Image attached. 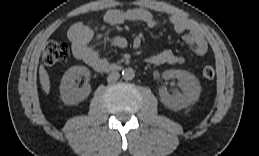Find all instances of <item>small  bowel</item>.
<instances>
[{
	"instance_id": "small-bowel-1",
	"label": "small bowel",
	"mask_w": 259,
	"mask_h": 156,
	"mask_svg": "<svg viewBox=\"0 0 259 156\" xmlns=\"http://www.w3.org/2000/svg\"><path fill=\"white\" fill-rule=\"evenodd\" d=\"M103 19L111 26L120 25L125 22H142L148 28H156L161 25V21L150 11L143 8L134 9H109L105 12ZM169 24L174 32L183 34L185 44L197 56H204L208 52V43L203 33L188 19L171 16ZM67 36L72 44L73 54L76 58L98 70L99 67L107 65L106 59L101 57L99 44L106 41L104 34L95 29L76 23L70 27ZM113 46L122 47L125 42L121 37H114L110 40ZM147 61L153 65H175L183 64L185 58L175 54L171 50H164L151 55Z\"/></svg>"
}]
</instances>
